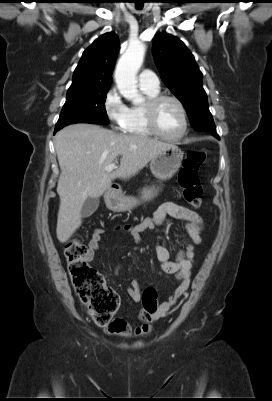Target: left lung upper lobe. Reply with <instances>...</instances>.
<instances>
[{
	"mask_svg": "<svg viewBox=\"0 0 272 401\" xmlns=\"http://www.w3.org/2000/svg\"><path fill=\"white\" fill-rule=\"evenodd\" d=\"M152 53L162 81L183 104L192 127L216 132L203 75L190 50L179 38L163 32L155 36Z\"/></svg>",
	"mask_w": 272,
	"mask_h": 401,
	"instance_id": "obj_1",
	"label": "left lung upper lobe"
}]
</instances>
